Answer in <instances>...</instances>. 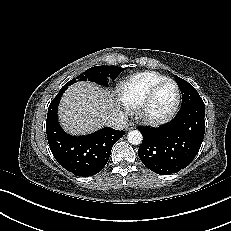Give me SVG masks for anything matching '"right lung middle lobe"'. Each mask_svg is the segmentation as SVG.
Masks as SVG:
<instances>
[{
  "label": "right lung middle lobe",
  "instance_id": "right-lung-middle-lobe-1",
  "mask_svg": "<svg viewBox=\"0 0 231 231\" xmlns=\"http://www.w3.org/2000/svg\"><path fill=\"white\" fill-rule=\"evenodd\" d=\"M124 69L117 66H95L80 74L76 79L70 80L67 84L71 85L79 80L92 81L107 86L108 80H114Z\"/></svg>",
  "mask_w": 231,
  "mask_h": 231
}]
</instances>
